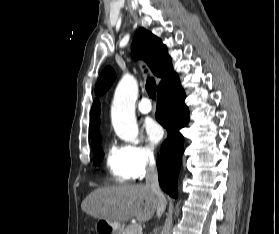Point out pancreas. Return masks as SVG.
Here are the masks:
<instances>
[{
	"label": "pancreas",
	"instance_id": "pancreas-1",
	"mask_svg": "<svg viewBox=\"0 0 279 234\" xmlns=\"http://www.w3.org/2000/svg\"><path fill=\"white\" fill-rule=\"evenodd\" d=\"M135 225H128L122 232V234H141L138 231H133Z\"/></svg>",
	"mask_w": 279,
	"mask_h": 234
}]
</instances>
